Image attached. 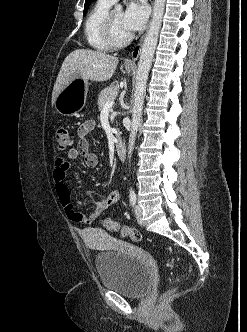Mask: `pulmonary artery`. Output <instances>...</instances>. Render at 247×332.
I'll return each instance as SVG.
<instances>
[{
	"label": "pulmonary artery",
	"instance_id": "obj_1",
	"mask_svg": "<svg viewBox=\"0 0 247 332\" xmlns=\"http://www.w3.org/2000/svg\"><path fill=\"white\" fill-rule=\"evenodd\" d=\"M107 1H109L110 3H115L117 0H107Z\"/></svg>",
	"mask_w": 247,
	"mask_h": 332
}]
</instances>
